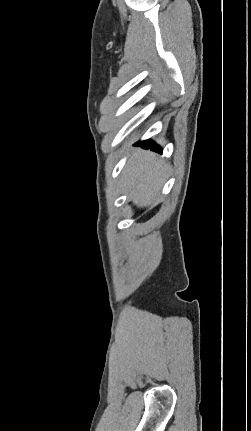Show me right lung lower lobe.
I'll use <instances>...</instances> for the list:
<instances>
[{
  "label": "right lung lower lobe",
  "mask_w": 251,
  "mask_h": 431,
  "mask_svg": "<svg viewBox=\"0 0 251 431\" xmlns=\"http://www.w3.org/2000/svg\"><path fill=\"white\" fill-rule=\"evenodd\" d=\"M140 144H141L142 147H144L146 149L150 148V149L155 150L157 152H160V153L162 152L161 147L158 146V145H156L153 141L146 140V141H143Z\"/></svg>",
  "instance_id": "right-lung-lower-lobe-1"
}]
</instances>
